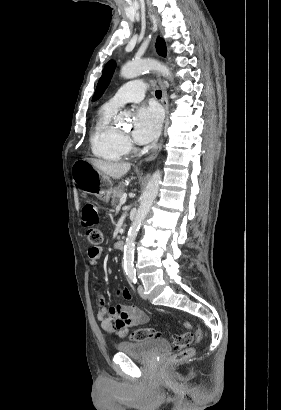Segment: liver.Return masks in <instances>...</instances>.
Instances as JSON below:
<instances>
[{"label": "liver", "mask_w": 281, "mask_h": 410, "mask_svg": "<svg viewBox=\"0 0 281 410\" xmlns=\"http://www.w3.org/2000/svg\"><path fill=\"white\" fill-rule=\"evenodd\" d=\"M97 170L104 173L106 176L113 179H120L128 173L131 168L130 163H120L104 161L100 159H87ZM76 208L79 209L78 200H76Z\"/></svg>", "instance_id": "obj_1"}]
</instances>
